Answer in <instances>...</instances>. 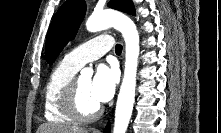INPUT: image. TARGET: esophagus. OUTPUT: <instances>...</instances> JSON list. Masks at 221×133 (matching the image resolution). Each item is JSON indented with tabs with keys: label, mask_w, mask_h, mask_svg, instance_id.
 Listing matches in <instances>:
<instances>
[{
	"label": "esophagus",
	"mask_w": 221,
	"mask_h": 133,
	"mask_svg": "<svg viewBox=\"0 0 221 133\" xmlns=\"http://www.w3.org/2000/svg\"><path fill=\"white\" fill-rule=\"evenodd\" d=\"M93 133H101L99 130H94Z\"/></svg>",
	"instance_id": "obj_1"
}]
</instances>
